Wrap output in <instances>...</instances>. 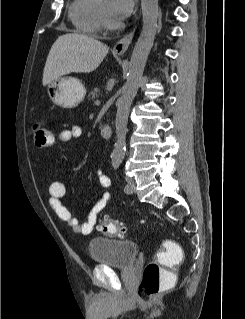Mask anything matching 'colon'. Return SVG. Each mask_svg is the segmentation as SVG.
I'll list each match as a JSON object with an SVG mask.
<instances>
[{
  "instance_id": "1",
  "label": "colon",
  "mask_w": 245,
  "mask_h": 319,
  "mask_svg": "<svg viewBox=\"0 0 245 319\" xmlns=\"http://www.w3.org/2000/svg\"><path fill=\"white\" fill-rule=\"evenodd\" d=\"M32 132L36 146L48 147L53 144V132L43 127L40 122L34 123ZM97 229L109 236L124 237L126 234V228L119 221L106 217L97 222ZM183 258L181 247L171 240H165L162 248L144 268L143 278L137 289L139 296L147 302L153 300L172 282L165 267L172 266Z\"/></svg>"
}]
</instances>
